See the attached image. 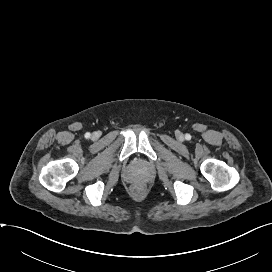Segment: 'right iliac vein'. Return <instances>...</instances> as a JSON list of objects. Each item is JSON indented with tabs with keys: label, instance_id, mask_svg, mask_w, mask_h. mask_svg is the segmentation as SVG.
Here are the masks:
<instances>
[{
	"label": "right iliac vein",
	"instance_id": "obj_1",
	"mask_svg": "<svg viewBox=\"0 0 272 272\" xmlns=\"http://www.w3.org/2000/svg\"><path fill=\"white\" fill-rule=\"evenodd\" d=\"M93 137H97V134H96V133H94V134H93Z\"/></svg>",
	"mask_w": 272,
	"mask_h": 272
}]
</instances>
